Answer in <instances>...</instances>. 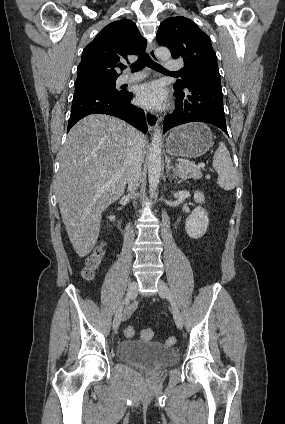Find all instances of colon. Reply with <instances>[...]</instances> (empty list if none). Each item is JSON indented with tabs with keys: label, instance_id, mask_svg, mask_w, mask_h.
I'll use <instances>...</instances> for the list:
<instances>
[{
	"label": "colon",
	"instance_id": "obj_1",
	"mask_svg": "<svg viewBox=\"0 0 285 424\" xmlns=\"http://www.w3.org/2000/svg\"><path fill=\"white\" fill-rule=\"evenodd\" d=\"M106 254L105 244H100L85 258L82 275L85 279L90 280L94 277L95 272L100 268L104 256ZM135 330L132 326H127L124 330L126 337H132ZM153 331L151 329H145L141 332V338L144 340H151L153 338ZM176 339L170 337L167 339L168 344H174Z\"/></svg>",
	"mask_w": 285,
	"mask_h": 424
}]
</instances>
